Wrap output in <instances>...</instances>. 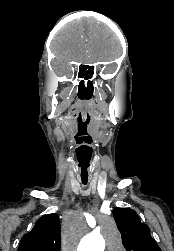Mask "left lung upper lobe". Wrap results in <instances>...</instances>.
Listing matches in <instances>:
<instances>
[{
    "instance_id": "5c2ea615",
    "label": "left lung upper lobe",
    "mask_w": 174,
    "mask_h": 251,
    "mask_svg": "<svg viewBox=\"0 0 174 251\" xmlns=\"http://www.w3.org/2000/svg\"><path fill=\"white\" fill-rule=\"evenodd\" d=\"M113 215L127 251H161L151 237L149 227L141 223L134 210L116 207Z\"/></svg>"
}]
</instances>
